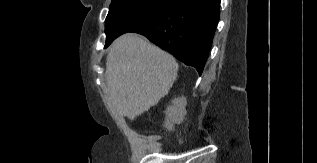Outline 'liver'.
Segmentation results:
<instances>
[{
	"mask_svg": "<svg viewBox=\"0 0 317 163\" xmlns=\"http://www.w3.org/2000/svg\"><path fill=\"white\" fill-rule=\"evenodd\" d=\"M177 71L173 56L145 38L134 33L118 37L106 59L110 112L134 120L168 94Z\"/></svg>",
	"mask_w": 317,
	"mask_h": 163,
	"instance_id": "liver-1",
	"label": "liver"
}]
</instances>
